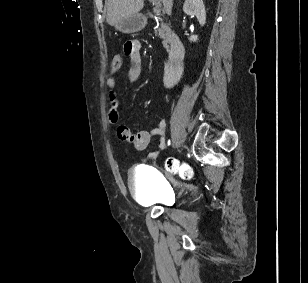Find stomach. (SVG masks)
Listing matches in <instances>:
<instances>
[{
  "label": "stomach",
  "instance_id": "1",
  "mask_svg": "<svg viewBox=\"0 0 308 283\" xmlns=\"http://www.w3.org/2000/svg\"><path fill=\"white\" fill-rule=\"evenodd\" d=\"M146 23V17L137 13L120 19L115 25V28L122 33H135L142 30L146 26Z\"/></svg>",
  "mask_w": 308,
  "mask_h": 283
}]
</instances>
